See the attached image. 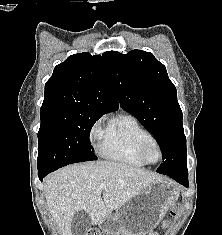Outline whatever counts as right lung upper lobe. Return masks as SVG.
<instances>
[{
	"label": "right lung upper lobe",
	"instance_id": "obj_1",
	"mask_svg": "<svg viewBox=\"0 0 222 235\" xmlns=\"http://www.w3.org/2000/svg\"><path fill=\"white\" fill-rule=\"evenodd\" d=\"M118 108L102 57L79 53L54 68L45 84L41 113L69 109L105 114Z\"/></svg>",
	"mask_w": 222,
	"mask_h": 235
}]
</instances>
